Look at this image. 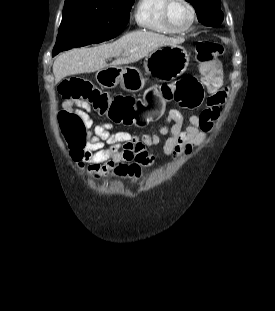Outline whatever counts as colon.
<instances>
[{
  "mask_svg": "<svg viewBox=\"0 0 275 311\" xmlns=\"http://www.w3.org/2000/svg\"><path fill=\"white\" fill-rule=\"evenodd\" d=\"M201 75L205 78L220 72L219 57L224 53L222 44L213 41H200L196 46ZM59 92L65 101L75 104H92L101 112L106 121L113 125H136L137 129H148L150 121H161L165 106L175 102L183 107H199L204 99L203 86L195 76H187L172 84L159 87L158 90L146 92V97H109L90 81L71 76L60 85ZM61 129L68 143L81 150L86 138V126L81 116L75 111L62 110L58 115ZM130 176L138 177L140 167L131 165L120 167Z\"/></svg>",
  "mask_w": 275,
  "mask_h": 311,
  "instance_id": "1",
  "label": "colon"
}]
</instances>
